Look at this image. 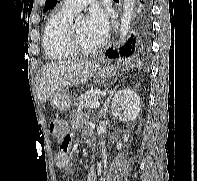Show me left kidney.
I'll list each match as a JSON object with an SVG mask.
<instances>
[{"label":"left kidney","instance_id":"1","mask_svg":"<svg viewBox=\"0 0 197 181\" xmlns=\"http://www.w3.org/2000/svg\"><path fill=\"white\" fill-rule=\"evenodd\" d=\"M111 111L115 118L120 121H135L140 112V98L136 92L130 89L120 90L113 98ZM129 134L123 137L127 142ZM122 148V143H117V149Z\"/></svg>","mask_w":197,"mask_h":181}]
</instances>
